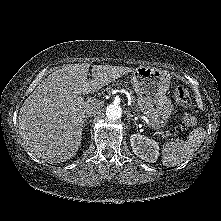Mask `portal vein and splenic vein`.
Here are the masks:
<instances>
[{
	"label": "portal vein and splenic vein",
	"mask_w": 221,
	"mask_h": 221,
	"mask_svg": "<svg viewBox=\"0 0 221 221\" xmlns=\"http://www.w3.org/2000/svg\"><path fill=\"white\" fill-rule=\"evenodd\" d=\"M158 134H160L161 136H167V137H171L174 140H178L177 138H175L171 133H166L164 134L163 132H158Z\"/></svg>",
	"instance_id": "18ae733b"
}]
</instances>
